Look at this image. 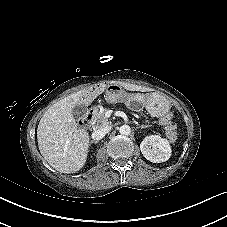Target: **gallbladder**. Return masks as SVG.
<instances>
[{
  "mask_svg": "<svg viewBox=\"0 0 227 227\" xmlns=\"http://www.w3.org/2000/svg\"><path fill=\"white\" fill-rule=\"evenodd\" d=\"M87 111V108L83 104H78L74 109H73V115L76 119L81 118Z\"/></svg>",
  "mask_w": 227,
  "mask_h": 227,
  "instance_id": "bac80fb5",
  "label": "gallbladder"
}]
</instances>
